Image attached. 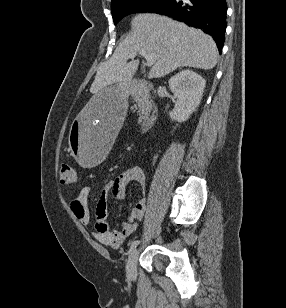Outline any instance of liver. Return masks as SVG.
<instances>
[{
    "label": "liver",
    "mask_w": 286,
    "mask_h": 308,
    "mask_svg": "<svg viewBox=\"0 0 286 308\" xmlns=\"http://www.w3.org/2000/svg\"><path fill=\"white\" fill-rule=\"evenodd\" d=\"M131 26V35L118 45L109 60L99 65L90 88L95 96L109 85L130 83L139 66V60L127 62L131 53L156 54L150 78L163 77L179 67L208 70L217 63V46L201 30L157 14L137 15Z\"/></svg>",
    "instance_id": "liver-1"
}]
</instances>
